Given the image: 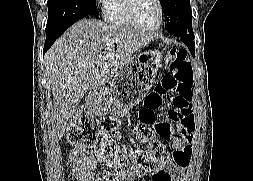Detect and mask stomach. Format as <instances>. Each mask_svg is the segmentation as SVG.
I'll return each mask as SVG.
<instances>
[{
  "label": "stomach",
  "mask_w": 253,
  "mask_h": 181,
  "mask_svg": "<svg viewBox=\"0 0 253 181\" xmlns=\"http://www.w3.org/2000/svg\"><path fill=\"white\" fill-rule=\"evenodd\" d=\"M165 49H150L133 56L112 79L108 87L91 91L86 97L90 111L97 115L124 117L148 93L155 82Z\"/></svg>",
  "instance_id": "stomach-1"
}]
</instances>
